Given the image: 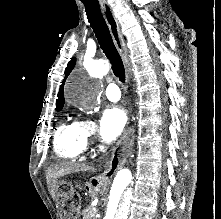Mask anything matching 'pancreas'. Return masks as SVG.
<instances>
[{"label":"pancreas","mask_w":221,"mask_h":219,"mask_svg":"<svg viewBox=\"0 0 221 219\" xmlns=\"http://www.w3.org/2000/svg\"><path fill=\"white\" fill-rule=\"evenodd\" d=\"M96 214V210H94L93 207L88 206L84 211H83V219H93Z\"/></svg>","instance_id":"obj_1"}]
</instances>
